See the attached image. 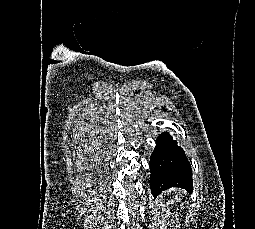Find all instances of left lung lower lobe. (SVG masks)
I'll return each mask as SVG.
<instances>
[{"instance_id":"1","label":"left lung lower lobe","mask_w":255,"mask_h":229,"mask_svg":"<svg viewBox=\"0 0 255 229\" xmlns=\"http://www.w3.org/2000/svg\"><path fill=\"white\" fill-rule=\"evenodd\" d=\"M150 187L153 197L171 187L193 191L192 169L183 149L168 133L157 137L150 157Z\"/></svg>"}]
</instances>
